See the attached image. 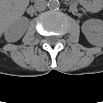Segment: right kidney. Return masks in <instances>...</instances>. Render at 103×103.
<instances>
[{"label":"right kidney","instance_id":"right-kidney-1","mask_svg":"<svg viewBox=\"0 0 103 103\" xmlns=\"http://www.w3.org/2000/svg\"><path fill=\"white\" fill-rule=\"evenodd\" d=\"M28 24L27 20H18L16 23H14L12 26H10L5 31V38L8 42H15L18 39H20L25 30L26 25Z\"/></svg>","mask_w":103,"mask_h":103}]
</instances>
